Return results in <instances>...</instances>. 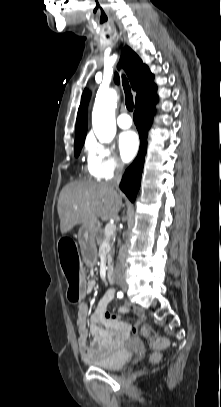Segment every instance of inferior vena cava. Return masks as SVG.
<instances>
[{
    "label": "inferior vena cava",
    "instance_id": "inferior-vena-cava-1",
    "mask_svg": "<svg viewBox=\"0 0 221 407\" xmlns=\"http://www.w3.org/2000/svg\"><path fill=\"white\" fill-rule=\"evenodd\" d=\"M123 163H118L117 164V168H116V172H115V176L113 179H111L108 184L112 187H118L119 183L121 181L122 178V171H123ZM125 259H126V248L124 246H122L119 250V255H118V260H117V264L115 267V274L116 275H120L124 272L125 269Z\"/></svg>",
    "mask_w": 221,
    "mask_h": 407
}]
</instances>
